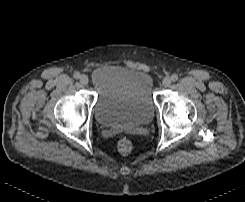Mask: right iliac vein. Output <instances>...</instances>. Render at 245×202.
<instances>
[{
	"instance_id": "obj_1",
	"label": "right iliac vein",
	"mask_w": 245,
	"mask_h": 202,
	"mask_svg": "<svg viewBox=\"0 0 245 202\" xmlns=\"http://www.w3.org/2000/svg\"><path fill=\"white\" fill-rule=\"evenodd\" d=\"M88 82H89V78H88V76H86V75H82V76H80V83H81V84H83V85H87V84H88Z\"/></svg>"
}]
</instances>
